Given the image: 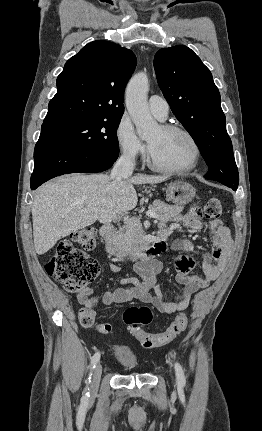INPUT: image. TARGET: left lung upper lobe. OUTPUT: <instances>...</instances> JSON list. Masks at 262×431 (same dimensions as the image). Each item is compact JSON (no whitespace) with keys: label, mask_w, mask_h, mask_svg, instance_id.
Masks as SVG:
<instances>
[{"label":"left lung upper lobe","mask_w":262,"mask_h":431,"mask_svg":"<svg viewBox=\"0 0 262 431\" xmlns=\"http://www.w3.org/2000/svg\"><path fill=\"white\" fill-rule=\"evenodd\" d=\"M154 68L173 114L190 133L209 167L206 177L237 188L238 169L210 70L184 45L159 50Z\"/></svg>","instance_id":"1"}]
</instances>
